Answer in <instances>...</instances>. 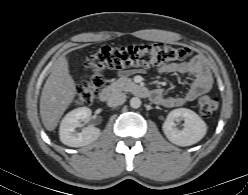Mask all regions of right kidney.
I'll return each instance as SVG.
<instances>
[{"label":"right kidney","instance_id":"1","mask_svg":"<svg viewBox=\"0 0 248 195\" xmlns=\"http://www.w3.org/2000/svg\"><path fill=\"white\" fill-rule=\"evenodd\" d=\"M91 113L89 108L80 107L66 114L60 124V141L70 147H81L97 140L101 131L94 126H87L81 132H76L81 121L88 120Z\"/></svg>","mask_w":248,"mask_h":195}]
</instances>
